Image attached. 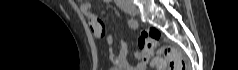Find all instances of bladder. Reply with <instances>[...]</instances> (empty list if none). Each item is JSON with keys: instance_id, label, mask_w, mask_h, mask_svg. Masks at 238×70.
Listing matches in <instances>:
<instances>
[{"instance_id": "bladder-1", "label": "bladder", "mask_w": 238, "mask_h": 70, "mask_svg": "<svg viewBox=\"0 0 238 70\" xmlns=\"http://www.w3.org/2000/svg\"><path fill=\"white\" fill-rule=\"evenodd\" d=\"M110 70H118V69H116V68L113 67V68H111Z\"/></svg>"}]
</instances>
